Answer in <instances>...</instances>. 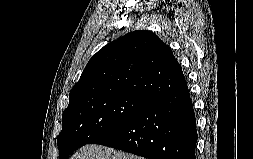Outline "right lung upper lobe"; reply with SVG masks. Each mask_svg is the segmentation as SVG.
<instances>
[{"label": "right lung upper lobe", "mask_w": 253, "mask_h": 159, "mask_svg": "<svg viewBox=\"0 0 253 159\" xmlns=\"http://www.w3.org/2000/svg\"><path fill=\"white\" fill-rule=\"evenodd\" d=\"M186 84L171 49L148 30L110 42L87 63L69 102L95 95L134 94L153 101Z\"/></svg>", "instance_id": "obj_1"}]
</instances>
